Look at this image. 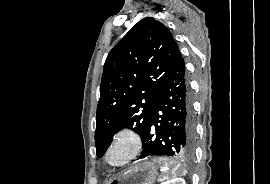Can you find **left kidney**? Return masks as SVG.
<instances>
[{
    "label": "left kidney",
    "mask_w": 270,
    "mask_h": 184,
    "mask_svg": "<svg viewBox=\"0 0 270 184\" xmlns=\"http://www.w3.org/2000/svg\"><path fill=\"white\" fill-rule=\"evenodd\" d=\"M165 184H186V183H185V180L183 178H175V179L168 181Z\"/></svg>",
    "instance_id": "1"
}]
</instances>
